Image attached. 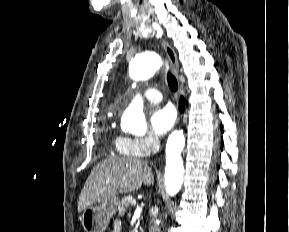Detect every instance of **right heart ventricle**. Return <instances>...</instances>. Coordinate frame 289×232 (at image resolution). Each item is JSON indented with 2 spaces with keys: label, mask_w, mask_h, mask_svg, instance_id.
I'll return each mask as SVG.
<instances>
[{
  "label": "right heart ventricle",
  "mask_w": 289,
  "mask_h": 232,
  "mask_svg": "<svg viewBox=\"0 0 289 232\" xmlns=\"http://www.w3.org/2000/svg\"><path fill=\"white\" fill-rule=\"evenodd\" d=\"M120 139H121V137H115L114 138V144H115L117 149H118V146H119V143H120Z\"/></svg>",
  "instance_id": "obj_1"
}]
</instances>
